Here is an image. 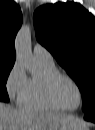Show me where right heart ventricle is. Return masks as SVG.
<instances>
[{"instance_id":"1","label":"right heart ventricle","mask_w":95,"mask_h":130,"mask_svg":"<svg viewBox=\"0 0 95 130\" xmlns=\"http://www.w3.org/2000/svg\"><path fill=\"white\" fill-rule=\"evenodd\" d=\"M38 62L42 69V75L28 79L21 104L26 108L59 111L60 109L50 102L45 92L46 77L59 71L54 63Z\"/></svg>"}]
</instances>
